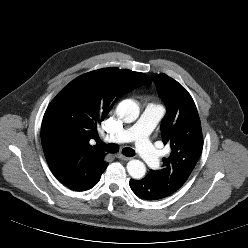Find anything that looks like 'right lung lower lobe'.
<instances>
[{
    "label": "right lung lower lobe",
    "instance_id": "obj_1",
    "mask_svg": "<svg viewBox=\"0 0 248 248\" xmlns=\"http://www.w3.org/2000/svg\"><path fill=\"white\" fill-rule=\"evenodd\" d=\"M104 170L91 176L84 184H82L78 188L74 189V191H85V190H88V189H91L92 187H94L99 182V180L101 178V174L104 172Z\"/></svg>",
    "mask_w": 248,
    "mask_h": 248
}]
</instances>
